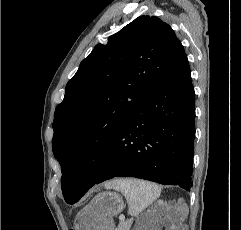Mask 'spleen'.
<instances>
[{
	"label": "spleen",
	"instance_id": "1",
	"mask_svg": "<svg viewBox=\"0 0 241 230\" xmlns=\"http://www.w3.org/2000/svg\"><path fill=\"white\" fill-rule=\"evenodd\" d=\"M107 189L120 191L128 203V211L132 216H138L153 203L161 193L158 185L138 179H115L105 184Z\"/></svg>",
	"mask_w": 241,
	"mask_h": 230
}]
</instances>
